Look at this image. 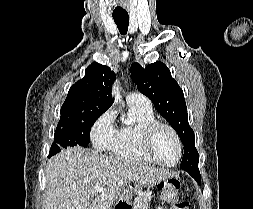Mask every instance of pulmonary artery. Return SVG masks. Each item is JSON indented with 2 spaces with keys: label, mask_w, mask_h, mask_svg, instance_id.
<instances>
[{
  "label": "pulmonary artery",
  "mask_w": 253,
  "mask_h": 209,
  "mask_svg": "<svg viewBox=\"0 0 253 209\" xmlns=\"http://www.w3.org/2000/svg\"><path fill=\"white\" fill-rule=\"evenodd\" d=\"M126 99L128 103L138 102V103H144V104H151L150 100L146 96L138 92L129 93Z\"/></svg>",
  "instance_id": "pulmonary-artery-1"
}]
</instances>
